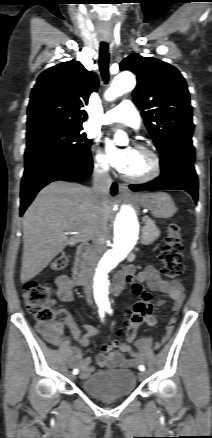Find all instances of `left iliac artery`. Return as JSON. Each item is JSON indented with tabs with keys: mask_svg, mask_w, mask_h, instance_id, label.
<instances>
[{
	"mask_svg": "<svg viewBox=\"0 0 212 438\" xmlns=\"http://www.w3.org/2000/svg\"><path fill=\"white\" fill-rule=\"evenodd\" d=\"M108 313H112V309L110 308V307H107L106 309H105ZM139 370L140 371H144L145 370V367L143 366V365H140L139 366Z\"/></svg>",
	"mask_w": 212,
	"mask_h": 438,
	"instance_id": "left-iliac-artery-1",
	"label": "left iliac artery"
}]
</instances>
